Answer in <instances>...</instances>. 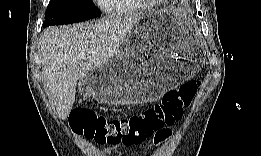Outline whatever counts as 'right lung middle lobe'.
I'll use <instances>...</instances> for the list:
<instances>
[{"label":"right lung middle lobe","mask_w":261,"mask_h":156,"mask_svg":"<svg viewBox=\"0 0 261 156\" xmlns=\"http://www.w3.org/2000/svg\"><path fill=\"white\" fill-rule=\"evenodd\" d=\"M100 14V10L90 0H51L43 26L80 22Z\"/></svg>","instance_id":"1"}]
</instances>
